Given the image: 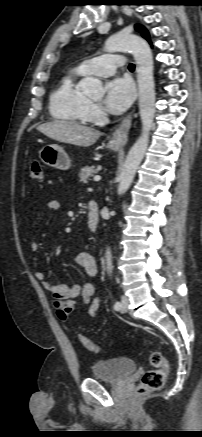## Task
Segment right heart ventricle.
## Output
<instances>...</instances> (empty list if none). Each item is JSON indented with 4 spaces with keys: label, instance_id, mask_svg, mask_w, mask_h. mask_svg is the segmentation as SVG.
Listing matches in <instances>:
<instances>
[{
    "label": "right heart ventricle",
    "instance_id": "1",
    "mask_svg": "<svg viewBox=\"0 0 202 437\" xmlns=\"http://www.w3.org/2000/svg\"><path fill=\"white\" fill-rule=\"evenodd\" d=\"M84 74L79 68L64 75L49 98L53 118L71 123L86 124L91 120L90 100L78 88L77 82Z\"/></svg>",
    "mask_w": 202,
    "mask_h": 437
}]
</instances>
